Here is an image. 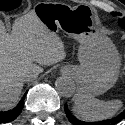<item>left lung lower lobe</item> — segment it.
<instances>
[{
	"instance_id": "obj_1",
	"label": "left lung lower lobe",
	"mask_w": 125,
	"mask_h": 125,
	"mask_svg": "<svg viewBox=\"0 0 125 125\" xmlns=\"http://www.w3.org/2000/svg\"><path fill=\"white\" fill-rule=\"evenodd\" d=\"M64 110H65L67 118L73 125H115L116 123L125 119V111H123L118 116L112 119H107V120L99 121V122H84V121L78 120L76 117L72 115L71 111L67 107V104H65Z\"/></svg>"
}]
</instances>
